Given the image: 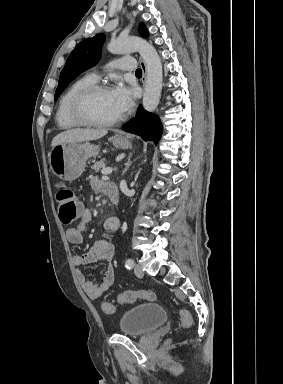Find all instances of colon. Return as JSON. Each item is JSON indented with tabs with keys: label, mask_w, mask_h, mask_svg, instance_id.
Segmentation results:
<instances>
[{
	"label": "colon",
	"mask_w": 283,
	"mask_h": 384,
	"mask_svg": "<svg viewBox=\"0 0 283 384\" xmlns=\"http://www.w3.org/2000/svg\"><path fill=\"white\" fill-rule=\"evenodd\" d=\"M56 202L59 207V218L63 224L69 225L78 219L80 215L79 202L70 188L59 186L56 193ZM155 297V293L150 290H136L120 293L117 300L120 304H128L138 299L153 301ZM102 309L106 314H112L115 311V306L110 302H105ZM178 313L182 327L189 328L193 323L191 314L185 309H180Z\"/></svg>",
	"instance_id": "5ec220e1"
}]
</instances>
